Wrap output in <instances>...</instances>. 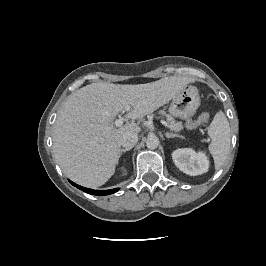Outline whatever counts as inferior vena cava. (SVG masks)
Returning a JSON list of instances; mask_svg holds the SVG:
<instances>
[{
    "label": "inferior vena cava",
    "instance_id": "obj_1",
    "mask_svg": "<svg viewBox=\"0 0 266 266\" xmlns=\"http://www.w3.org/2000/svg\"><path fill=\"white\" fill-rule=\"evenodd\" d=\"M137 142H138L137 133L128 132V133L123 134L121 138V146L125 149L133 148Z\"/></svg>",
    "mask_w": 266,
    "mask_h": 266
}]
</instances>
